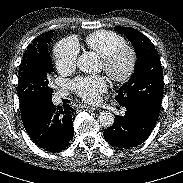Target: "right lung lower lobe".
Masks as SVG:
<instances>
[{"label":"right lung lower lobe","mask_w":183,"mask_h":183,"mask_svg":"<svg viewBox=\"0 0 183 183\" xmlns=\"http://www.w3.org/2000/svg\"><path fill=\"white\" fill-rule=\"evenodd\" d=\"M20 110L25 130L37 146L52 153L68 147L74 133L72 107L56 108L50 98L32 101Z\"/></svg>","instance_id":"98d812e1"}]
</instances>
